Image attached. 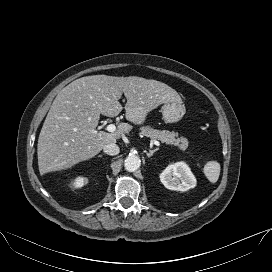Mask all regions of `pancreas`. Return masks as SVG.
Masks as SVG:
<instances>
[{"label":"pancreas","mask_w":272,"mask_h":272,"mask_svg":"<svg viewBox=\"0 0 272 272\" xmlns=\"http://www.w3.org/2000/svg\"><path fill=\"white\" fill-rule=\"evenodd\" d=\"M140 134L160 140L162 143H166L168 145L177 146L180 150H185L188 147L187 138L183 136L178 137V133L176 132H170L167 130L161 131L153 129L149 126H143L140 128Z\"/></svg>","instance_id":"1"}]
</instances>
